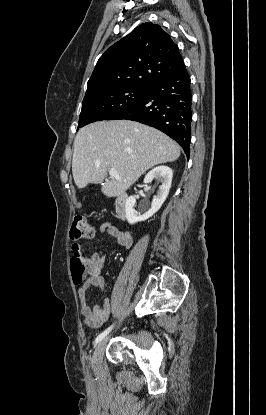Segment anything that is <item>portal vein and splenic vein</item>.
Returning a JSON list of instances; mask_svg holds the SVG:
<instances>
[{"instance_id":"18ae733b","label":"portal vein and splenic vein","mask_w":266,"mask_h":415,"mask_svg":"<svg viewBox=\"0 0 266 415\" xmlns=\"http://www.w3.org/2000/svg\"><path fill=\"white\" fill-rule=\"evenodd\" d=\"M109 175H110L112 178H115V179H120V177H119V175H118L117 171H116L115 169H113V168H111V169L109 170Z\"/></svg>"}]
</instances>
